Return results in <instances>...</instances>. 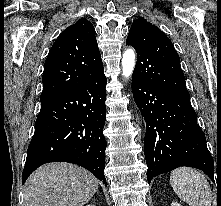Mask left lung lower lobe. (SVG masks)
Segmentation results:
<instances>
[{
	"mask_svg": "<svg viewBox=\"0 0 221 206\" xmlns=\"http://www.w3.org/2000/svg\"><path fill=\"white\" fill-rule=\"evenodd\" d=\"M135 103L146 121L147 180L180 166L204 171L214 181V162L190 98L132 78Z\"/></svg>",
	"mask_w": 221,
	"mask_h": 206,
	"instance_id": "1",
	"label": "left lung lower lobe"
}]
</instances>
